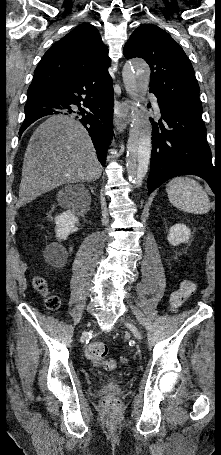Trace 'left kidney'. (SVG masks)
<instances>
[{
	"mask_svg": "<svg viewBox=\"0 0 221 455\" xmlns=\"http://www.w3.org/2000/svg\"><path fill=\"white\" fill-rule=\"evenodd\" d=\"M191 235V230L186 225L178 223L172 226L168 234V242L177 246L181 243L188 242Z\"/></svg>",
	"mask_w": 221,
	"mask_h": 455,
	"instance_id": "left-kidney-1",
	"label": "left kidney"
}]
</instances>
